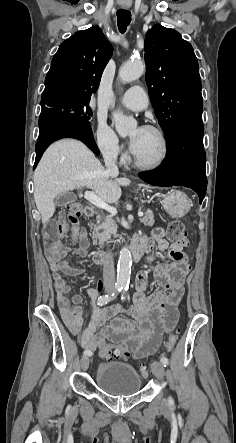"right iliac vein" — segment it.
<instances>
[{"instance_id": "obj_1", "label": "right iliac vein", "mask_w": 236, "mask_h": 443, "mask_svg": "<svg viewBox=\"0 0 236 443\" xmlns=\"http://www.w3.org/2000/svg\"><path fill=\"white\" fill-rule=\"evenodd\" d=\"M89 357L88 356H83L81 358V367L84 371H86L89 367Z\"/></svg>"}]
</instances>
